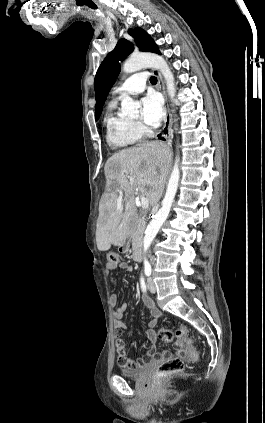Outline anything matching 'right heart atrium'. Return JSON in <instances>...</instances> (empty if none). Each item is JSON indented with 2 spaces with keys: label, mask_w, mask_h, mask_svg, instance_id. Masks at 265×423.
I'll return each instance as SVG.
<instances>
[{
  "label": "right heart atrium",
  "mask_w": 265,
  "mask_h": 423,
  "mask_svg": "<svg viewBox=\"0 0 265 423\" xmlns=\"http://www.w3.org/2000/svg\"><path fill=\"white\" fill-rule=\"evenodd\" d=\"M135 126L140 134H143L146 131V129L139 123H135Z\"/></svg>",
  "instance_id": "obj_1"
}]
</instances>
